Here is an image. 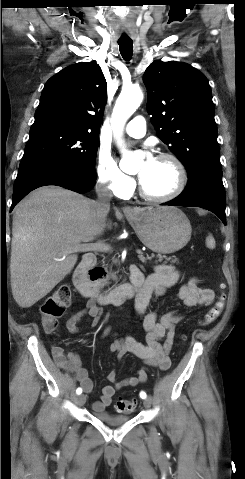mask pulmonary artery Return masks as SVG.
I'll list each match as a JSON object with an SVG mask.
<instances>
[{"mask_svg": "<svg viewBox=\"0 0 245 479\" xmlns=\"http://www.w3.org/2000/svg\"><path fill=\"white\" fill-rule=\"evenodd\" d=\"M126 133L134 138L143 137L146 133V123L142 116H136L129 121L126 128Z\"/></svg>", "mask_w": 245, "mask_h": 479, "instance_id": "obj_1", "label": "pulmonary artery"}]
</instances>
